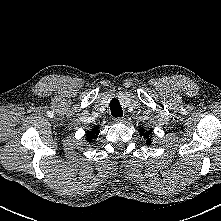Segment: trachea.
I'll return each mask as SVG.
<instances>
[{
	"label": "trachea",
	"mask_w": 221,
	"mask_h": 221,
	"mask_svg": "<svg viewBox=\"0 0 221 221\" xmlns=\"http://www.w3.org/2000/svg\"><path fill=\"white\" fill-rule=\"evenodd\" d=\"M110 110H111V115L114 117H121L123 115L120 102L116 98L111 100Z\"/></svg>",
	"instance_id": "1"
}]
</instances>
